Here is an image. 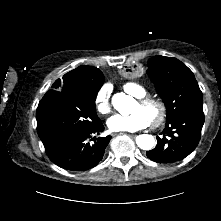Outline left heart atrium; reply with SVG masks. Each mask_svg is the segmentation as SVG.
<instances>
[{
  "instance_id": "1",
  "label": "left heart atrium",
  "mask_w": 221,
  "mask_h": 221,
  "mask_svg": "<svg viewBox=\"0 0 221 221\" xmlns=\"http://www.w3.org/2000/svg\"><path fill=\"white\" fill-rule=\"evenodd\" d=\"M150 123V120L143 112L136 111L126 116H112L107 121V126L113 132H134L148 127Z\"/></svg>"
}]
</instances>
